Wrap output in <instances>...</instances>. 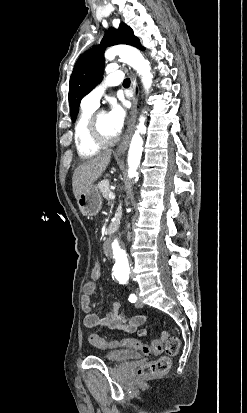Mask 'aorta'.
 Listing matches in <instances>:
<instances>
[{"label":"aorta","mask_w":247,"mask_h":413,"mask_svg":"<svg viewBox=\"0 0 247 413\" xmlns=\"http://www.w3.org/2000/svg\"><path fill=\"white\" fill-rule=\"evenodd\" d=\"M116 56L136 70L141 77V81L146 92L148 93L149 88L152 85L153 74L151 73L149 62L145 60L141 52L136 48L126 45H117L107 49L105 52V58L107 60H113ZM145 119V116H140L139 123L136 126V131L131 139L128 152V175L135 181H138L137 169L140 164L143 151L142 135L146 133V126L144 124ZM115 267L121 277H124L129 273V263L124 252L118 251L116 253Z\"/></svg>","instance_id":"1"}]
</instances>
